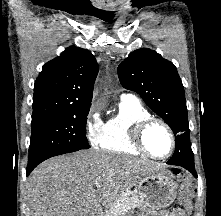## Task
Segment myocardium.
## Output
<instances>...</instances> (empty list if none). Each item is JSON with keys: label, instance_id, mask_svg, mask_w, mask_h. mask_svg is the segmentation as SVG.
Here are the masks:
<instances>
[{"label": "myocardium", "instance_id": "myocardium-1", "mask_svg": "<svg viewBox=\"0 0 221 216\" xmlns=\"http://www.w3.org/2000/svg\"><path fill=\"white\" fill-rule=\"evenodd\" d=\"M154 125L162 126L166 130V132L168 133V135L170 137L171 149L164 156H160V155H156V154L152 153L146 145L147 131L149 130L150 127H152ZM132 142H133L134 146L144 155H147V156L152 157L154 159H160V160L166 159V158H169L170 156H172L175 151V148H176V138H175L172 128L164 120H162L160 118L152 117V116L149 118H146L136 124V126L134 127V129L132 131Z\"/></svg>", "mask_w": 221, "mask_h": 216}]
</instances>
